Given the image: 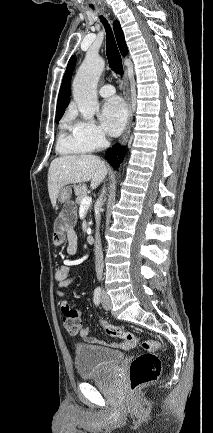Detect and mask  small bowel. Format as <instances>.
I'll return each mask as SVG.
<instances>
[{
	"label": "small bowel",
	"mask_w": 213,
	"mask_h": 433,
	"mask_svg": "<svg viewBox=\"0 0 213 433\" xmlns=\"http://www.w3.org/2000/svg\"><path fill=\"white\" fill-rule=\"evenodd\" d=\"M75 222L76 214L73 211L66 210L58 217L54 225L53 243L55 246H61L64 241H66L67 245L65 252L68 256L75 255L78 249V237L74 229ZM72 265L73 264L70 260H65L64 263L55 272V280L59 288L58 295L63 298V301L61 303V309L63 314L70 311H77L66 299L67 294L63 291V289L67 287L72 281ZM79 336L90 343L99 342L94 337L90 336V329L88 327L82 328L79 332ZM99 343L105 344L104 342ZM111 346L114 348L126 349L129 348L131 345L124 341L120 343H113L111 344Z\"/></svg>",
	"instance_id": "c3829d8e"
}]
</instances>
